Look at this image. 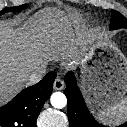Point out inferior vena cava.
Returning a JSON list of instances; mask_svg holds the SVG:
<instances>
[{"label":"inferior vena cava","instance_id":"1","mask_svg":"<svg viewBox=\"0 0 127 127\" xmlns=\"http://www.w3.org/2000/svg\"><path fill=\"white\" fill-rule=\"evenodd\" d=\"M46 75V67L40 66L29 77L28 84L33 85L38 83Z\"/></svg>","mask_w":127,"mask_h":127}]
</instances>
